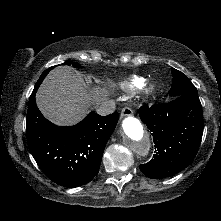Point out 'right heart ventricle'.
Listing matches in <instances>:
<instances>
[{
    "label": "right heart ventricle",
    "mask_w": 221,
    "mask_h": 221,
    "mask_svg": "<svg viewBox=\"0 0 221 221\" xmlns=\"http://www.w3.org/2000/svg\"><path fill=\"white\" fill-rule=\"evenodd\" d=\"M146 82V79L139 76H133L123 84V87L130 91L140 89Z\"/></svg>",
    "instance_id": "1"
}]
</instances>
